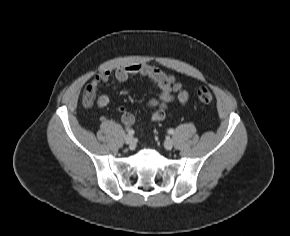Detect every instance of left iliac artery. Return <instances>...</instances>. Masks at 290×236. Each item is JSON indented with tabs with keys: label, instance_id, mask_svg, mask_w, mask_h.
I'll list each match as a JSON object with an SVG mask.
<instances>
[{
	"label": "left iliac artery",
	"instance_id": "obj_1",
	"mask_svg": "<svg viewBox=\"0 0 290 236\" xmlns=\"http://www.w3.org/2000/svg\"><path fill=\"white\" fill-rule=\"evenodd\" d=\"M168 133H169V134H173V133H174V130H173V129H169V130H168Z\"/></svg>",
	"mask_w": 290,
	"mask_h": 236
}]
</instances>
